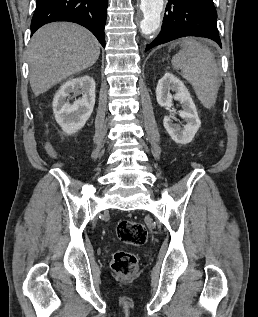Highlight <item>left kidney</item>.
Listing matches in <instances>:
<instances>
[{
  "label": "left kidney",
  "mask_w": 258,
  "mask_h": 317,
  "mask_svg": "<svg viewBox=\"0 0 258 317\" xmlns=\"http://www.w3.org/2000/svg\"><path fill=\"white\" fill-rule=\"evenodd\" d=\"M170 90H176V94L173 96ZM156 98L158 104L165 106L167 110L171 108L173 98L181 102L183 110H179V116L184 118L186 124H182V126L173 124V110H170L171 114L165 116L163 124L175 142H179V144H188V142H191L201 124V120L184 82L179 80L177 76H174L172 72H165L164 76L158 80Z\"/></svg>",
  "instance_id": "5707ae66"
}]
</instances>
